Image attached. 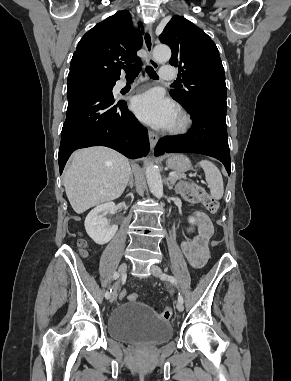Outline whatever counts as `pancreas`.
Segmentation results:
<instances>
[{
  "instance_id": "cf45deb5",
  "label": "pancreas",
  "mask_w": 291,
  "mask_h": 381,
  "mask_svg": "<svg viewBox=\"0 0 291 381\" xmlns=\"http://www.w3.org/2000/svg\"><path fill=\"white\" fill-rule=\"evenodd\" d=\"M181 179H186L185 175L179 172H175V176L170 178L172 184H175L176 181L181 180Z\"/></svg>"
}]
</instances>
